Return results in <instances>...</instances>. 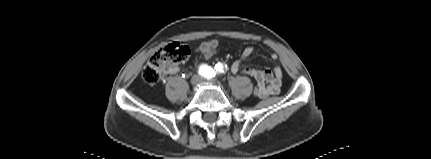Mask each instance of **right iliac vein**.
<instances>
[{"label":"right iliac vein","instance_id":"63e3f726","mask_svg":"<svg viewBox=\"0 0 431 159\" xmlns=\"http://www.w3.org/2000/svg\"><path fill=\"white\" fill-rule=\"evenodd\" d=\"M200 82H201V77H200L199 75H194V76L191 78V80H190V83H191L193 86L198 85Z\"/></svg>","mask_w":431,"mask_h":159}]
</instances>
